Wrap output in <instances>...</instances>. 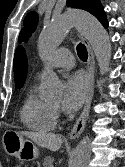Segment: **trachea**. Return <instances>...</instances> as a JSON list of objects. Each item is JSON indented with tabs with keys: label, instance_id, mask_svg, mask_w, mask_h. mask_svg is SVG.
Masks as SVG:
<instances>
[{
	"label": "trachea",
	"instance_id": "trachea-1",
	"mask_svg": "<svg viewBox=\"0 0 125 167\" xmlns=\"http://www.w3.org/2000/svg\"><path fill=\"white\" fill-rule=\"evenodd\" d=\"M77 54H78L79 58L83 61H86L88 58L87 49L81 43L77 45Z\"/></svg>",
	"mask_w": 125,
	"mask_h": 167
}]
</instances>
